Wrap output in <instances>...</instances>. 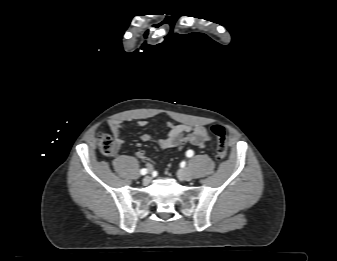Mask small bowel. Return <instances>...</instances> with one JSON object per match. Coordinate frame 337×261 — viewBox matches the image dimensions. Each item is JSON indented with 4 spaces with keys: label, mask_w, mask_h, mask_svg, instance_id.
<instances>
[{
    "label": "small bowel",
    "mask_w": 337,
    "mask_h": 261,
    "mask_svg": "<svg viewBox=\"0 0 337 261\" xmlns=\"http://www.w3.org/2000/svg\"><path fill=\"white\" fill-rule=\"evenodd\" d=\"M109 128L114 135L117 147H120L124 140L121 136V129L124 123L120 120H110ZM136 127H146L148 122L145 120H139L134 123ZM168 132L160 138H154L149 134H142L140 139L143 142H156L162 148H176L182 147L185 144H191L199 148L206 147L211 136L207 129L201 125H187V124H173L171 122L167 123ZM136 156L146 161V166L149 169L153 167V161L150 160L145 151L139 150L136 152Z\"/></svg>",
    "instance_id": "1"
}]
</instances>
